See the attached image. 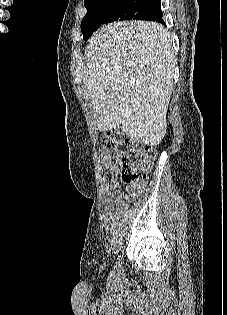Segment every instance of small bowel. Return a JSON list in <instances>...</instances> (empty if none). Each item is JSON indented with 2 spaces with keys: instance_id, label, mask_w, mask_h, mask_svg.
<instances>
[{
  "instance_id": "small-bowel-1",
  "label": "small bowel",
  "mask_w": 227,
  "mask_h": 315,
  "mask_svg": "<svg viewBox=\"0 0 227 315\" xmlns=\"http://www.w3.org/2000/svg\"><path fill=\"white\" fill-rule=\"evenodd\" d=\"M106 193V206H105V223L107 226H113L123 211L128 207V205L135 200L138 195L139 189H134L130 187L129 194L122 197L120 193L113 187L104 188Z\"/></svg>"
}]
</instances>
